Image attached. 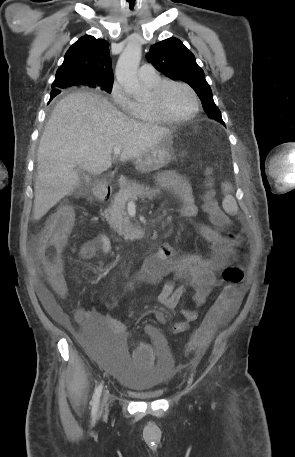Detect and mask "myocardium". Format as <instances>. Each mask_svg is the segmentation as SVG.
I'll return each instance as SVG.
<instances>
[{"mask_svg": "<svg viewBox=\"0 0 295 457\" xmlns=\"http://www.w3.org/2000/svg\"><path fill=\"white\" fill-rule=\"evenodd\" d=\"M172 85L176 86H181L187 89L194 102V106L192 111L183 116V117H171L165 114V112L162 109V104H161V97L164 92V90ZM149 108L151 109L152 113L161 121L165 123H181L185 122L188 120L193 119L199 112L200 110V100L199 97L196 93V91L187 83L182 82V81H177V80H169V79H164L161 80L158 84H156L154 87H152L151 90V98L148 101Z\"/></svg>", "mask_w": 295, "mask_h": 457, "instance_id": "1", "label": "myocardium"}]
</instances>
